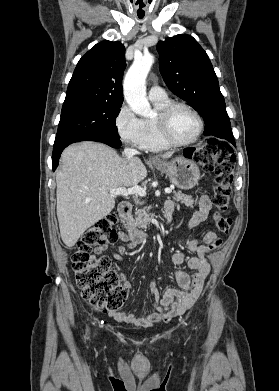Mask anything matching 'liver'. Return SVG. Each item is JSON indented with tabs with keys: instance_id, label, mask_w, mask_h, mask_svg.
<instances>
[{
	"instance_id": "1",
	"label": "liver",
	"mask_w": 279,
	"mask_h": 391,
	"mask_svg": "<svg viewBox=\"0 0 279 391\" xmlns=\"http://www.w3.org/2000/svg\"><path fill=\"white\" fill-rule=\"evenodd\" d=\"M146 176L138 157H120L105 144L84 141L68 146L56 173L57 218L64 244L73 247L88 228L114 209L116 196L110 189L135 186Z\"/></svg>"
}]
</instances>
